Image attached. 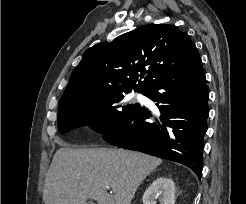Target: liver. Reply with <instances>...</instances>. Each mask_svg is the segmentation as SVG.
Here are the masks:
<instances>
[{
  "instance_id": "6515ba94",
  "label": "liver",
  "mask_w": 246,
  "mask_h": 204,
  "mask_svg": "<svg viewBox=\"0 0 246 204\" xmlns=\"http://www.w3.org/2000/svg\"><path fill=\"white\" fill-rule=\"evenodd\" d=\"M161 163L157 157L124 149L62 147L46 175L43 200L45 204H85L88 199L97 204H131L140 183Z\"/></svg>"
}]
</instances>
